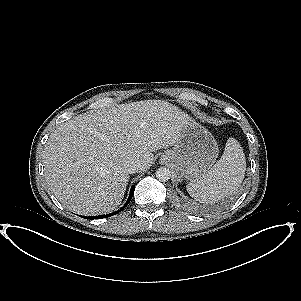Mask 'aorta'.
Wrapping results in <instances>:
<instances>
[{
  "label": "aorta",
  "mask_w": 301,
  "mask_h": 301,
  "mask_svg": "<svg viewBox=\"0 0 301 301\" xmlns=\"http://www.w3.org/2000/svg\"><path fill=\"white\" fill-rule=\"evenodd\" d=\"M171 177V171L166 167H160L156 171V178L161 182H166Z\"/></svg>",
  "instance_id": "1"
}]
</instances>
